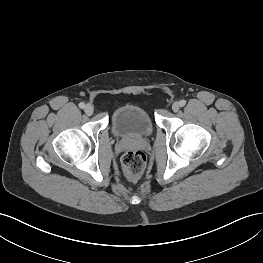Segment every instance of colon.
Segmentation results:
<instances>
[{"instance_id":"colon-1","label":"colon","mask_w":263,"mask_h":263,"mask_svg":"<svg viewBox=\"0 0 263 263\" xmlns=\"http://www.w3.org/2000/svg\"><path fill=\"white\" fill-rule=\"evenodd\" d=\"M146 156L138 150H129L122 157V168L124 176L131 182L137 181L145 172Z\"/></svg>"}]
</instances>
